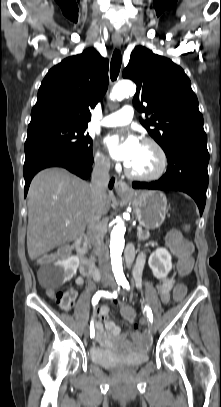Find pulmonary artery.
I'll return each mask as SVG.
<instances>
[{
  "instance_id": "1",
  "label": "pulmonary artery",
  "mask_w": 221,
  "mask_h": 407,
  "mask_svg": "<svg viewBox=\"0 0 221 407\" xmlns=\"http://www.w3.org/2000/svg\"><path fill=\"white\" fill-rule=\"evenodd\" d=\"M133 115H134L133 107L130 105H125L120 110L104 117L101 124L105 127H116L127 125L131 122Z\"/></svg>"
}]
</instances>
